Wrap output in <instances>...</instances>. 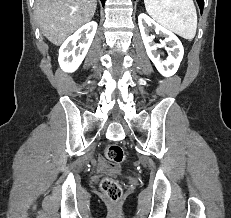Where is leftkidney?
Here are the masks:
<instances>
[{
  "label": "left kidney",
  "mask_w": 231,
  "mask_h": 218,
  "mask_svg": "<svg viewBox=\"0 0 231 218\" xmlns=\"http://www.w3.org/2000/svg\"><path fill=\"white\" fill-rule=\"evenodd\" d=\"M138 23L146 52L156 69L165 77L174 75L184 55V49L178 37L170 30L159 25L145 13H141L138 16ZM149 28L154 29L157 34L165 37L161 44H155L153 42L152 36H149ZM166 43H169L171 48H167L169 51L168 57L163 60L160 58V53L157 51V48L166 47Z\"/></svg>",
  "instance_id": "5707ae66"
}]
</instances>
